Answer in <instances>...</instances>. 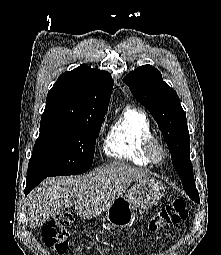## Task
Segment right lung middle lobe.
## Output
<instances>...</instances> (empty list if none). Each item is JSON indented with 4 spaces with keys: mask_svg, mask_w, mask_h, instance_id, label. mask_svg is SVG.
Wrapping results in <instances>:
<instances>
[{
    "mask_svg": "<svg viewBox=\"0 0 221 255\" xmlns=\"http://www.w3.org/2000/svg\"><path fill=\"white\" fill-rule=\"evenodd\" d=\"M105 113L88 120L41 118L27 177L75 175L89 170Z\"/></svg>",
    "mask_w": 221,
    "mask_h": 255,
    "instance_id": "1",
    "label": "right lung middle lobe"
}]
</instances>
